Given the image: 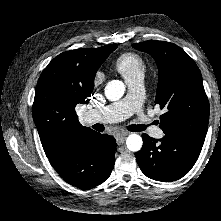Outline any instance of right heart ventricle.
<instances>
[{"label":"right heart ventricle","instance_id":"right-heart-ventricle-1","mask_svg":"<svg viewBox=\"0 0 221 221\" xmlns=\"http://www.w3.org/2000/svg\"><path fill=\"white\" fill-rule=\"evenodd\" d=\"M114 66L127 83L142 78L147 68L145 59L140 54L132 51L118 55Z\"/></svg>","mask_w":221,"mask_h":221}]
</instances>
